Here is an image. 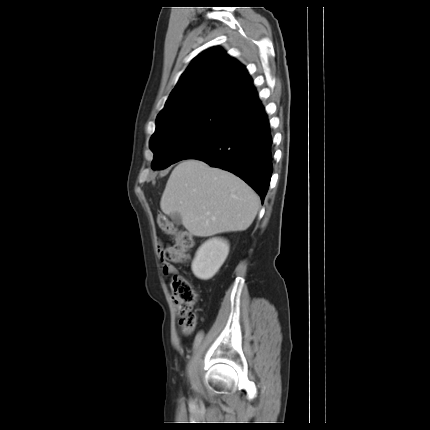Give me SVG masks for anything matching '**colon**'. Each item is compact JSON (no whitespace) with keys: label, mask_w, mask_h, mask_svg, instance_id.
Instances as JSON below:
<instances>
[{"label":"colon","mask_w":430,"mask_h":430,"mask_svg":"<svg viewBox=\"0 0 430 430\" xmlns=\"http://www.w3.org/2000/svg\"><path fill=\"white\" fill-rule=\"evenodd\" d=\"M159 227L167 234L173 236L174 242L164 248H160V257L166 258V263H182L188 260L189 251L194 246V241L189 233L179 231L174 224L163 214L157 217ZM172 296L176 310L180 317V327L184 334H191L197 322L194 306L197 303V292L184 275L175 273L171 277Z\"/></svg>","instance_id":"1"}]
</instances>
